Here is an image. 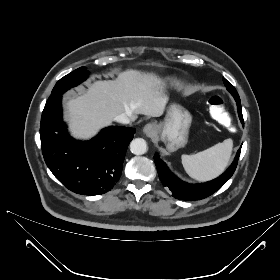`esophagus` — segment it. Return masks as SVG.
Masks as SVG:
<instances>
[{
  "label": "esophagus",
  "mask_w": 280,
  "mask_h": 280,
  "mask_svg": "<svg viewBox=\"0 0 280 280\" xmlns=\"http://www.w3.org/2000/svg\"><path fill=\"white\" fill-rule=\"evenodd\" d=\"M143 132L147 137H155L158 133L157 125L154 123H148L144 126Z\"/></svg>",
  "instance_id": "1"
}]
</instances>
